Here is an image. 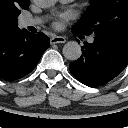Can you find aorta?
<instances>
[{"label": "aorta", "instance_id": "obj_1", "mask_svg": "<svg viewBox=\"0 0 128 128\" xmlns=\"http://www.w3.org/2000/svg\"><path fill=\"white\" fill-rule=\"evenodd\" d=\"M35 3L41 8H48L57 2V0H34ZM63 56L71 61L80 58L82 51L80 45L76 41H69L63 47Z\"/></svg>", "mask_w": 128, "mask_h": 128}]
</instances>
